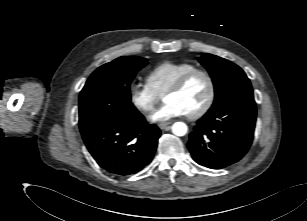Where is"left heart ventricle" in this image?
Masks as SVG:
<instances>
[{
  "instance_id": "obj_1",
  "label": "left heart ventricle",
  "mask_w": 307,
  "mask_h": 221,
  "mask_svg": "<svg viewBox=\"0 0 307 221\" xmlns=\"http://www.w3.org/2000/svg\"><path fill=\"white\" fill-rule=\"evenodd\" d=\"M208 94L209 85L207 79L202 75H197L180 92L165 96V101L178 103L186 114H190L204 105Z\"/></svg>"
}]
</instances>
